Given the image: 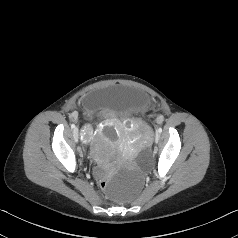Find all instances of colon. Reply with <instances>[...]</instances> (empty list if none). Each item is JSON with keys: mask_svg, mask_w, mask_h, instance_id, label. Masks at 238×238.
I'll return each mask as SVG.
<instances>
[{"mask_svg": "<svg viewBox=\"0 0 238 238\" xmlns=\"http://www.w3.org/2000/svg\"><path fill=\"white\" fill-rule=\"evenodd\" d=\"M156 120H157V122H159V123L163 121L161 117H157ZM100 184H101V187H102V188H105V187H106V181H105V180H102Z\"/></svg>", "mask_w": 238, "mask_h": 238, "instance_id": "obj_1", "label": "colon"}]
</instances>
